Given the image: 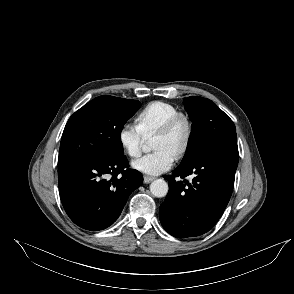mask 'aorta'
Returning <instances> with one entry per match:
<instances>
[{
  "instance_id": "aorta-1",
  "label": "aorta",
  "mask_w": 294,
  "mask_h": 294,
  "mask_svg": "<svg viewBox=\"0 0 294 294\" xmlns=\"http://www.w3.org/2000/svg\"><path fill=\"white\" fill-rule=\"evenodd\" d=\"M143 151L150 152L153 149V142L151 139H148L144 142L142 146ZM168 184L163 179L154 180L150 185L151 193L158 198L164 197L168 193Z\"/></svg>"
}]
</instances>
